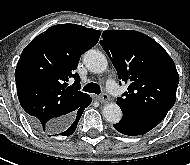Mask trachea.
<instances>
[{"label":"trachea","mask_w":190,"mask_h":165,"mask_svg":"<svg viewBox=\"0 0 190 165\" xmlns=\"http://www.w3.org/2000/svg\"><path fill=\"white\" fill-rule=\"evenodd\" d=\"M83 91L89 92V93H95V94H100L101 89L100 86L97 83H88L83 87Z\"/></svg>","instance_id":"1"}]
</instances>
